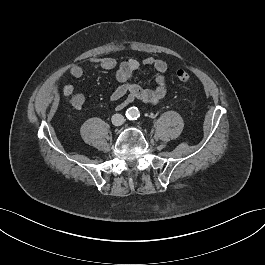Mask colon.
Listing matches in <instances>:
<instances>
[{
  "label": "colon",
  "instance_id": "1",
  "mask_svg": "<svg viewBox=\"0 0 265 265\" xmlns=\"http://www.w3.org/2000/svg\"><path fill=\"white\" fill-rule=\"evenodd\" d=\"M177 77H178L179 82L184 85L188 84L191 80L190 75L185 71H179L177 73Z\"/></svg>",
  "mask_w": 265,
  "mask_h": 265
}]
</instances>
